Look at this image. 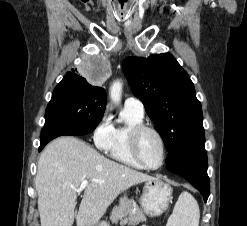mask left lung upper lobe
<instances>
[{
	"instance_id": "1",
	"label": "left lung upper lobe",
	"mask_w": 247,
	"mask_h": 226,
	"mask_svg": "<svg viewBox=\"0 0 247 226\" xmlns=\"http://www.w3.org/2000/svg\"><path fill=\"white\" fill-rule=\"evenodd\" d=\"M123 70L170 155L205 141L202 108L194 85L170 53L128 57Z\"/></svg>"
}]
</instances>
